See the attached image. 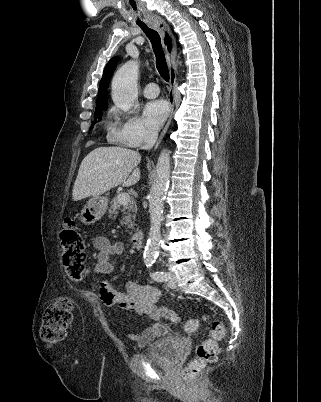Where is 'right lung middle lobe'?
I'll list each match as a JSON object with an SVG mask.
<instances>
[{"instance_id":"1","label":"right lung middle lobe","mask_w":321,"mask_h":402,"mask_svg":"<svg viewBox=\"0 0 321 402\" xmlns=\"http://www.w3.org/2000/svg\"><path fill=\"white\" fill-rule=\"evenodd\" d=\"M107 110V106L99 107L95 109V119H101L102 111Z\"/></svg>"}]
</instances>
